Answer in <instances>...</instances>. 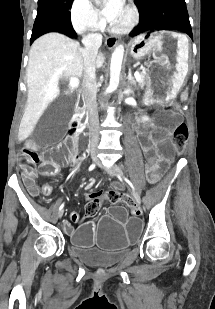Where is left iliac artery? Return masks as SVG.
I'll list each match as a JSON object with an SVG mask.
<instances>
[{
  "instance_id": "1",
  "label": "left iliac artery",
  "mask_w": 215,
  "mask_h": 309,
  "mask_svg": "<svg viewBox=\"0 0 215 309\" xmlns=\"http://www.w3.org/2000/svg\"><path fill=\"white\" fill-rule=\"evenodd\" d=\"M118 177H119V176H118ZM119 178H120V177H119ZM125 181L131 186V188H132L133 190H135L133 184H132L127 178H125Z\"/></svg>"
}]
</instances>
